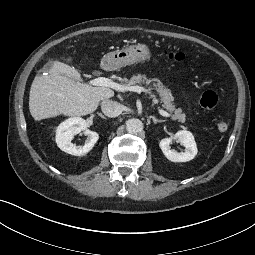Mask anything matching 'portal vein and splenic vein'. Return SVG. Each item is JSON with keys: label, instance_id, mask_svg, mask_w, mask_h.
<instances>
[{"label": "portal vein and splenic vein", "instance_id": "18ae733b", "mask_svg": "<svg viewBox=\"0 0 255 255\" xmlns=\"http://www.w3.org/2000/svg\"><path fill=\"white\" fill-rule=\"evenodd\" d=\"M89 84L93 85V86H103V87L112 88V89H115L116 91H126V90L135 91V92L147 91L140 86L128 87V86L120 85V84H118L108 78H105V77H98L94 80H91L89 82ZM151 96L153 97V103L158 104V100L156 98H154V95H151ZM158 111L164 117L170 116V114L168 112L164 111L160 107H158Z\"/></svg>", "mask_w": 255, "mask_h": 255}]
</instances>
